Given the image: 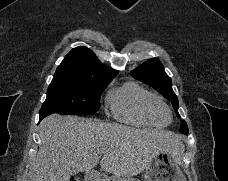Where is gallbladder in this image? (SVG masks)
I'll return each instance as SVG.
<instances>
[{
	"label": "gallbladder",
	"mask_w": 228,
	"mask_h": 181,
	"mask_svg": "<svg viewBox=\"0 0 228 181\" xmlns=\"http://www.w3.org/2000/svg\"><path fill=\"white\" fill-rule=\"evenodd\" d=\"M71 173L72 175H76V173H78L77 169H71Z\"/></svg>",
	"instance_id": "bac80fb5"
}]
</instances>
